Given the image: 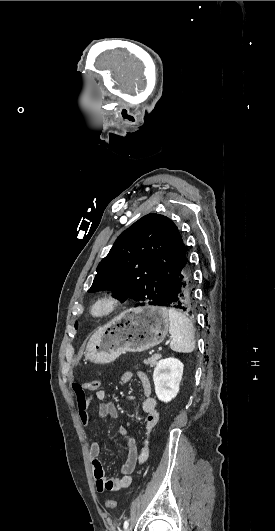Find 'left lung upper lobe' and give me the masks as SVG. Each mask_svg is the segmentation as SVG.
I'll use <instances>...</instances> for the list:
<instances>
[{
	"mask_svg": "<svg viewBox=\"0 0 275 531\" xmlns=\"http://www.w3.org/2000/svg\"><path fill=\"white\" fill-rule=\"evenodd\" d=\"M187 263L177 226L166 216L150 213L123 231L96 269L88 292L112 290L136 306L162 305Z\"/></svg>",
	"mask_w": 275,
	"mask_h": 531,
	"instance_id": "5c2ea615",
	"label": "left lung upper lobe"
}]
</instances>
